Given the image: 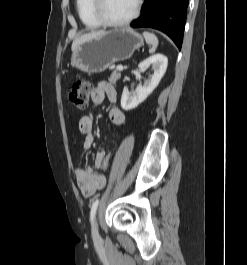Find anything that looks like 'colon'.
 Wrapping results in <instances>:
<instances>
[{
    "mask_svg": "<svg viewBox=\"0 0 247 265\" xmlns=\"http://www.w3.org/2000/svg\"><path fill=\"white\" fill-rule=\"evenodd\" d=\"M91 92H92L91 82L86 78L79 77L74 81L72 85L71 91L69 93V100L78 111H83L88 106ZM115 144L116 142L115 140H113L111 143L110 150L105 154V156L102 159L101 165L99 167L101 177H105V173L109 168V163Z\"/></svg>",
    "mask_w": 247,
    "mask_h": 265,
    "instance_id": "1",
    "label": "colon"
}]
</instances>
